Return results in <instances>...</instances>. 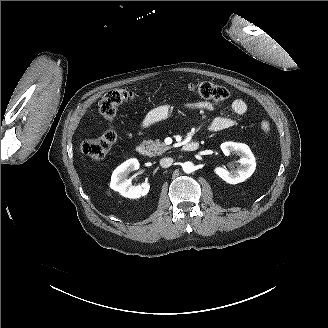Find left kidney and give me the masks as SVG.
<instances>
[{
  "mask_svg": "<svg viewBox=\"0 0 328 328\" xmlns=\"http://www.w3.org/2000/svg\"><path fill=\"white\" fill-rule=\"evenodd\" d=\"M221 150L228 156L230 153H235L241 158L239 160L240 166L233 171H228L222 167H216L215 173L229 184H238L248 179L256 169V161L253 153L248 145L237 142H224L221 144Z\"/></svg>",
  "mask_w": 328,
  "mask_h": 328,
  "instance_id": "obj_1",
  "label": "left kidney"
}]
</instances>
